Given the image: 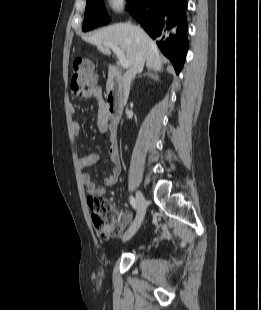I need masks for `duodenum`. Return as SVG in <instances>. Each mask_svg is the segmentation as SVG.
Listing matches in <instances>:
<instances>
[{
  "instance_id": "410a0bca",
  "label": "duodenum",
  "mask_w": 261,
  "mask_h": 310,
  "mask_svg": "<svg viewBox=\"0 0 261 310\" xmlns=\"http://www.w3.org/2000/svg\"><path fill=\"white\" fill-rule=\"evenodd\" d=\"M122 74L114 66H109V77L107 82L106 109L109 117L110 128L116 131V126L121 113L122 102Z\"/></svg>"
}]
</instances>
